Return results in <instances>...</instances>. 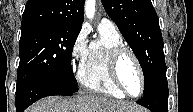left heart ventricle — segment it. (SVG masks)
Here are the masks:
<instances>
[{"label":"left heart ventricle","instance_id":"b2bd125f","mask_svg":"<svg viewBox=\"0 0 193 112\" xmlns=\"http://www.w3.org/2000/svg\"><path fill=\"white\" fill-rule=\"evenodd\" d=\"M119 73L126 89L133 95L140 91V77L133 59L126 55L122 58L119 65Z\"/></svg>","mask_w":193,"mask_h":112}]
</instances>
